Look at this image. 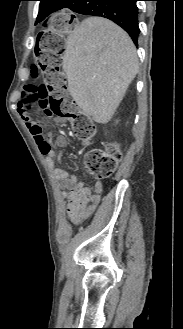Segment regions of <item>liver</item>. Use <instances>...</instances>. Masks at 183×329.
<instances>
[{"mask_svg":"<svg viewBox=\"0 0 183 329\" xmlns=\"http://www.w3.org/2000/svg\"><path fill=\"white\" fill-rule=\"evenodd\" d=\"M66 44L63 70L71 96L94 121L107 123L138 73L134 43L112 21L89 17L70 33Z\"/></svg>","mask_w":183,"mask_h":329,"instance_id":"liver-1","label":"liver"}]
</instances>
